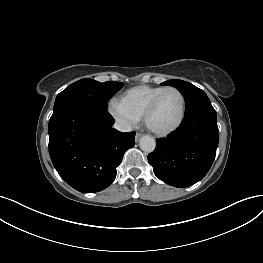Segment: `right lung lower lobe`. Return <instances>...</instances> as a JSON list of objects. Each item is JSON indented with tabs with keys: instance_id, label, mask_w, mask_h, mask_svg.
I'll use <instances>...</instances> for the list:
<instances>
[{
	"instance_id": "obj_1",
	"label": "right lung lower lobe",
	"mask_w": 263,
	"mask_h": 263,
	"mask_svg": "<svg viewBox=\"0 0 263 263\" xmlns=\"http://www.w3.org/2000/svg\"><path fill=\"white\" fill-rule=\"evenodd\" d=\"M113 124L107 110L82 105L66 106L51 116L50 157L74 189L94 193L114 181L125 151L135 144V132H119Z\"/></svg>"
}]
</instances>
